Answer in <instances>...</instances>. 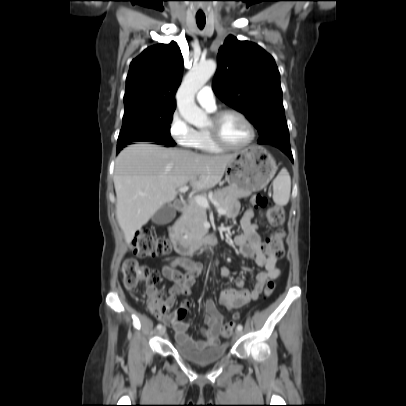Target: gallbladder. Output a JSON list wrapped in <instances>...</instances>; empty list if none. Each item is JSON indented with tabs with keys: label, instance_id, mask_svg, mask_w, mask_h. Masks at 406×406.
Segmentation results:
<instances>
[{
	"label": "gallbladder",
	"instance_id": "gallbladder-1",
	"mask_svg": "<svg viewBox=\"0 0 406 406\" xmlns=\"http://www.w3.org/2000/svg\"><path fill=\"white\" fill-rule=\"evenodd\" d=\"M175 217V210L172 204L167 203L161 207L152 217V222L157 225H165Z\"/></svg>",
	"mask_w": 406,
	"mask_h": 406
}]
</instances>
